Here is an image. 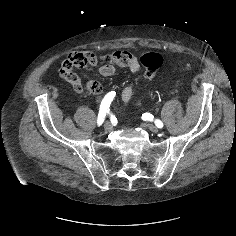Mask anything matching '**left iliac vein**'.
I'll list each match as a JSON object with an SVG mask.
<instances>
[{
  "instance_id": "obj_1",
  "label": "left iliac vein",
  "mask_w": 236,
  "mask_h": 236,
  "mask_svg": "<svg viewBox=\"0 0 236 236\" xmlns=\"http://www.w3.org/2000/svg\"><path fill=\"white\" fill-rule=\"evenodd\" d=\"M147 127L153 133H157L159 131L158 128L154 125H148Z\"/></svg>"
}]
</instances>
